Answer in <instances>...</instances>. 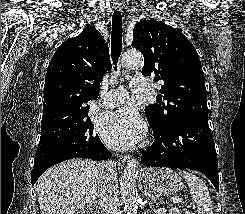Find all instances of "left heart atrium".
Segmentation results:
<instances>
[{"label":"left heart atrium","mask_w":245,"mask_h":214,"mask_svg":"<svg viewBox=\"0 0 245 214\" xmlns=\"http://www.w3.org/2000/svg\"><path fill=\"white\" fill-rule=\"evenodd\" d=\"M98 127L106 144L117 150L133 147L145 134L143 121L130 106L106 113L100 119Z\"/></svg>","instance_id":"left-heart-atrium-1"}]
</instances>
